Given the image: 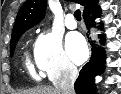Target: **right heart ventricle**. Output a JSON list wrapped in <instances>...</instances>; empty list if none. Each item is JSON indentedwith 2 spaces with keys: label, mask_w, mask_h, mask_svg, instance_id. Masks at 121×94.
Returning <instances> with one entry per match:
<instances>
[{
  "label": "right heart ventricle",
  "mask_w": 121,
  "mask_h": 94,
  "mask_svg": "<svg viewBox=\"0 0 121 94\" xmlns=\"http://www.w3.org/2000/svg\"><path fill=\"white\" fill-rule=\"evenodd\" d=\"M24 63H25V67H26L28 73H29L33 78L37 79L38 76L35 74L34 69H33L32 65H31L30 61L26 58Z\"/></svg>",
  "instance_id": "1"
}]
</instances>
